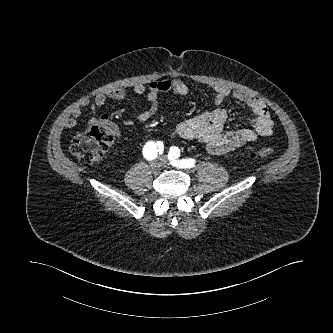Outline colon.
I'll list each match as a JSON object with an SVG mask.
<instances>
[{
  "mask_svg": "<svg viewBox=\"0 0 333 333\" xmlns=\"http://www.w3.org/2000/svg\"><path fill=\"white\" fill-rule=\"evenodd\" d=\"M114 134L104 126L90 125L84 133L75 136L71 143V151L86 165L99 162L114 142ZM274 150L271 147H260L251 152L253 157L268 158Z\"/></svg>",
  "mask_w": 333,
  "mask_h": 333,
  "instance_id": "1",
  "label": "colon"
}]
</instances>
